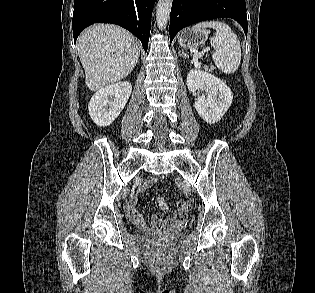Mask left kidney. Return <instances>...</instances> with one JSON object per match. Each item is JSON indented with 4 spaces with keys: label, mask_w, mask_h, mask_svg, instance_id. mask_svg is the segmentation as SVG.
<instances>
[{
    "label": "left kidney",
    "mask_w": 315,
    "mask_h": 293,
    "mask_svg": "<svg viewBox=\"0 0 315 293\" xmlns=\"http://www.w3.org/2000/svg\"><path fill=\"white\" fill-rule=\"evenodd\" d=\"M187 87L194 92L199 88L205 94L198 97L194 106L200 117L207 123L214 124L221 120L229 109L233 95L231 89L214 75L193 69L187 76Z\"/></svg>",
    "instance_id": "5707ae66"
}]
</instances>
